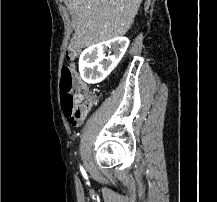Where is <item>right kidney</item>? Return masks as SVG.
Wrapping results in <instances>:
<instances>
[{
    "label": "right kidney",
    "mask_w": 217,
    "mask_h": 202,
    "mask_svg": "<svg viewBox=\"0 0 217 202\" xmlns=\"http://www.w3.org/2000/svg\"><path fill=\"white\" fill-rule=\"evenodd\" d=\"M129 46L128 38H113L100 42L82 52L79 58V72L84 82H102L116 68ZM105 52H114L106 56Z\"/></svg>",
    "instance_id": "obj_1"
}]
</instances>
